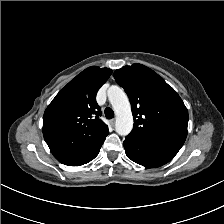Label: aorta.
Listing matches in <instances>:
<instances>
[{
    "instance_id": "obj_1",
    "label": "aorta",
    "mask_w": 224,
    "mask_h": 224,
    "mask_svg": "<svg viewBox=\"0 0 224 224\" xmlns=\"http://www.w3.org/2000/svg\"><path fill=\"white\" fill-rule=\"evenodd\" d=\"M107 94L116 115V132L121 136H126L133 128V116L129 99L124 90L115 85L109 87Z\"/></svg>"
}]
</instances>
